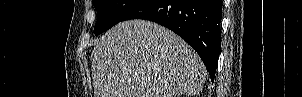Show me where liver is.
<instances>
[{
  "label": "liver",
  "instance_id": "liver-1",
  "mask_svg": "<svg viewBox=\"0 0 302 97\" xmlns=\"http://www.w3.org/2000/svg\"><path fill=\"white\" fill-rule=\"evenodd\" d=\"M94 97H177L200 93L206 69L178 35L150 21L107 31L91 55Z\"/></svg>",
  "mask_w": 302,
  "mask_h": 97
}]
</instances>
